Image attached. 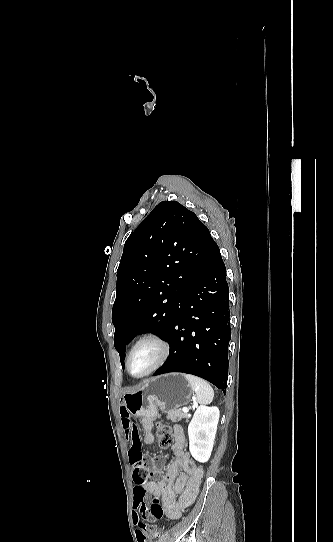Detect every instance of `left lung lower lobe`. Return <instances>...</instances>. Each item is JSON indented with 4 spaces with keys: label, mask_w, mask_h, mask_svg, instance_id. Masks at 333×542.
Listing matches in <instances>:
<instances>
[{
    "label": "left lung lower lobe",
    "mask_w": 333,
    "mask_h": 542,
    "mask_svg": "<svg viewBox=\"0 0 333 542\" xmlns=\"http://www.w3.org/2000/svg\"><path fill=\"white\" fill-rule=\"evenodd\" d=\"M228 292L225 265L213 242L166 337L169 357L154 376L169 372L193 374L226 392L231 339Z\"/></svg>",
    "instance_id": "obj_1"
}]
</instances>
